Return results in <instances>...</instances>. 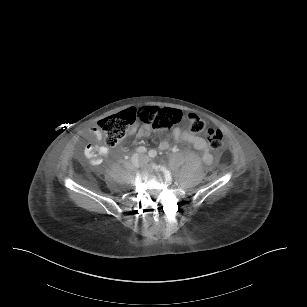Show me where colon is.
<instances>
[{
  "mask_svg": "<svg viewBox=\"0 0 307 307\" xmlns=\"http://www.w3.org/2000/svg\"><path fill=\"white\" fill-rule=\"evenodd\" d=\"M124 116H133L134 122L138 120L157 132H168L184 118L188 121L192 132L199 133L205 128V122L196 114L189 113L184 117L182 111L174 108L126 110L120 114L105 117L98 124V129L104 135L105 143L110 147L118 146L126 135L128 126L134 123H124ZM204 134L213 150L219 151L223 148V134L219 129L208 127Z\"/></svg>",
  "mask_w": 307,
  "mask_h": 307,
  "instance_id": "obj_1",
  "label": "colon"
}]
</instances>
